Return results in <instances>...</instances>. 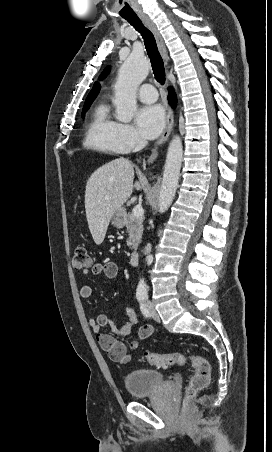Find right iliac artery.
I'll use <instances>...</instances> for the list:
<instances>
[{"instance_id": "right-iliac-artery-1", "label": "right iliac artery", "mask_w": 272, "mask_h": 452, "mask_svg": "<svg viewBox=\"0 0 272 452\" xmlns=\"http://www.w3.org/2000/svg\"><path fill=\"white\" fill-rule=\"evenodd\" d=\"M143 299H144L143 296L138 297V300H139V301H142Z\"/></svg>"}]
</instances>
